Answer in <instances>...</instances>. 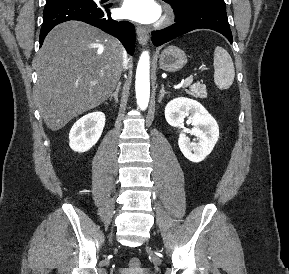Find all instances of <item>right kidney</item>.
<instances>
[{
	"label": "right kidney",
	"instance_id": "ca27d5eb",
	"mask_svg": "<svg viewBox=\"0 0 289 274\" xmlns=\"http://www.w3.org/2000/svg\"><path fill=\"white\" fill-rule=\"evenodd\" d=\"M104 125L105 114L103 112H92L81 117L70 130V148L75 152L90 150L101 137Z\"/></svg>",
	"mask_w": 289,
	"mask_h": 274
}]
</instances>
